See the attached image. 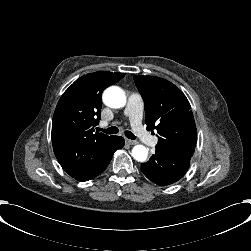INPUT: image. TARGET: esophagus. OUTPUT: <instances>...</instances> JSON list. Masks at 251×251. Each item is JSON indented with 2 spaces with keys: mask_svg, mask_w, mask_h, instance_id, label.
Wrapping results in <instances>:
<instances>
[{
  "mask_svg": "<svg viewBox=\"0 0 251 251\" xmlns=\"http://www.w3.org/2000/svg\"><path fill=\"white\" fill-rule=\"evenodd\" d=\"M126 141H127V143H128L129 145H136V144H138V142L135 141V140H129V139H127Z\"/></svg>",
  "mask_w": 251,
  "mask_h": 251,
  "instance_id": "esophagus-1",
  "label": "esophagus"
}]
</instances>
